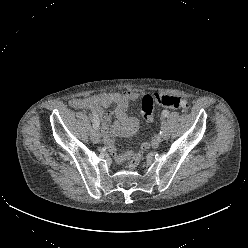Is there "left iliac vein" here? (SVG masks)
<instances>
[{
	"instance_id": "left-iliac-vein-1",
	"label": "left iliac vein",
	"mask_w": 248,
	"mask_h": 248,
	"mask_svg": "<svg viewBox=\"0 0 248 248\" xmlns=\"http://www.w3.org/2000/svg\"><path fill=\"white\" fill-rule=\"evenodd\" d=\"M161 131H162V138L164 140L168 139L169 138V131L167 129L165 122H163V124H162Z\"/></svg>"
}]
</instances>
